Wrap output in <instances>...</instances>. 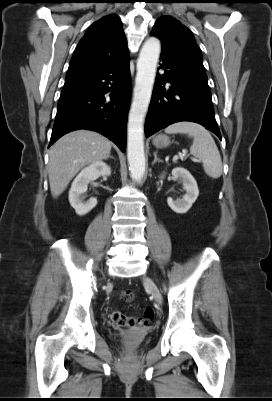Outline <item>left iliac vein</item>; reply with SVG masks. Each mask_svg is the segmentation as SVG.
<instances>
[{
    "instance_id": "obj_1",
    "label": "left iliac vein",
    "mask_w": 272,
    "mask_h": 401,
    "mask_svg": "<svg viewBox=\"0 0 272 401\" xmlns=\"http://www.w3.org/2000/svg\"><path fill=\"white\" fill-rule=\"evenodd\" d=\"M144 283L146 285V287L150 290L151 294L153 295L155 301L158 304H162V295L158 289V287L156 286V284L148 277L144 278Z\"/></svg>"
}]
</instances>
